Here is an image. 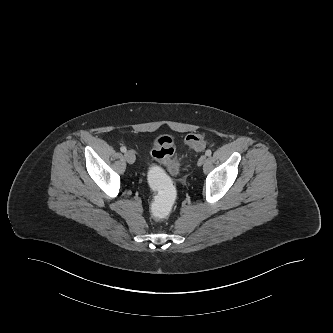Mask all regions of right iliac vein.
Returning <instances> with one entry per match:
<instances>
[{
  "label": "right iliac vein",
  "instance_id": "obj_1",
  "mask_svg": "<svg viewBox=\"0 0 333 333\" xmlns=\"http://www.w3.org/2000/svg\"><path fill=\"white\" fill-rule=\"evenodd\" d=\"M124 156L129 164H133L136 160L135 153L132 150L126 151Z\"/></svg>",
  "mask_w": 333,
  "mask_h": 333
}]
</instances>
